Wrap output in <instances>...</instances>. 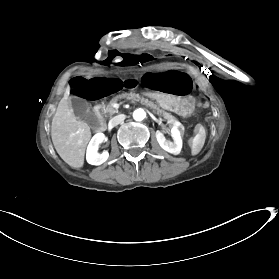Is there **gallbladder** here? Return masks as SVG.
Returning a JSON list of instances; mask_svg holds the SVG:
<instances>
[{
  "mask_svg": "<svg viewBox=\"0 0 279 279\" xmlns=\"http://www.w3.org/2000/svg\"><path fill=\"white\" fill-rule=\"evenodd\" d=\"M70 101L74 114L78 119L86 123L90 122L92 128H99L101 126V119L95 117V113L89 108L87 101L77 96H72Z\"/></svg>",
  "mask_w": 279,
  "mask_h": 279,
  "instance_id": "gallbladder-1",
  "label": "gallbladder"
}]
</instances>
